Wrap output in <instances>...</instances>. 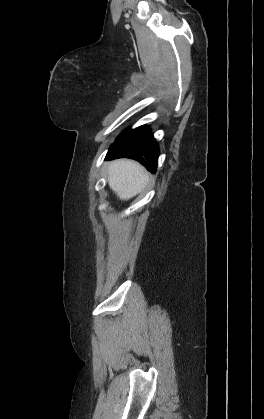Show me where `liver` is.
Returning a JSON list of instances; mask_svg holds the SVG:
<instances>
[{"instance_id":"liver-1","label":"liver","mask_w":264,"mask_h":419,"mask_svg":"<svg viewBox=\"0 0 264 419\" xmlns=\"http://www.w3.org/2000/svg\"><path fill=\"white\" fill-rule=\"evenodd\" d=\"M149 174L139 163L119 159L108 167V184L121 200H129L145 187Z\"/></svg>"}]
</instances>
